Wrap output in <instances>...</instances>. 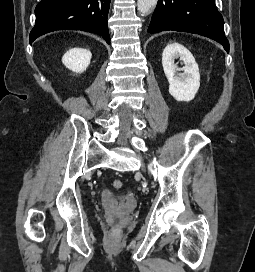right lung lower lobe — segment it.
Listing matches in <instances>:
<instances>
[{
  "label": "right lung lower lobe",
  "instance_id": "obj_1",
  "mask_svg": "<svg viewBox=\"0 0 255 272\" xmlns=\"http://www.w3.org/2000/svg\"><path fill=\"white\" fill-rule=\"evenodd\" d=\"M111 0H41L30 43L56 30H81L102 36L110 44L107 16Z\"/></svg>",
  "mask_w": 255,
  "mask_h": 272
}]
</instances>
